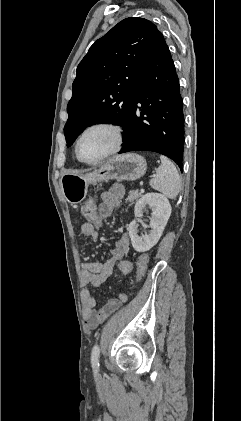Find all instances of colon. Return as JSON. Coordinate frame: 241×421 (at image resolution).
Segmentation results:
<instances>
[{"mask_svg":"<svg viewBox=\"0 0 241 421\" xmlns=\"http://www.w3.org/2000/svg\"><path fill=\"white\" fill-rule=\"evenodd\" d=\"M81 211L84 218L86 219V222L92 224L95 230L99 232L102 227V220L100 219L97 213L96 200L95 199L87 200L83 204ZM148 262H149L148 254H142L140 258L138 259V262L136 265V273H137L138 279L144 276L147 269ZM118 269L122 274L127 275L133 271L134 266L131 262L127 260H120L118 263Z\"/></svg>","mask_w":241,"mask_h":421,"instance_id":"obj_1","label":"colon"}]
</instances>
